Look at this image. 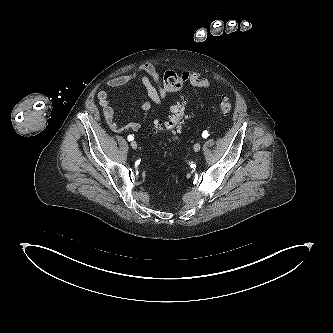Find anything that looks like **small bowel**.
I'll use <instances>...</instances> for the list:
<instances>
[{"instance_id": "c3829d8e", "label": "small bowel", "mask_w": 333, "mask_h": 333, "mask_svg": "<svg viewBox=\"0 0 333 333\" xmlns=\"http://www.w3.org/2000/svg\"><path fill=\"white\" fill-rule=\"evenodd\" d=\"M135 80L141 82L146 95V99L141 105L143 111L141 122L119 123L117 121V113L111 106L108 92L101 90L97 93L104 120L109 129L115 133H121L126 130H140L142 123L152 115V103L162 105L168 94L181 90L185 83L199 88H207L210 85V80L200 73L194 71L177 73L167 70L161 75L158 69L150 63L143 64L132 73L111 78L106 84L110 88H120Z\"/></svg>"}]
</instances>
